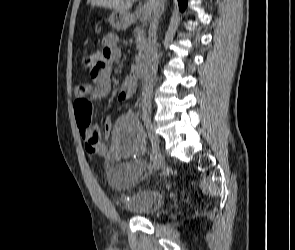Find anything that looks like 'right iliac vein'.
Segmentation results:
<instances>
[{
    "label": "right iliac vein",
    "mask_w": 295,
    "mask_h": 250,
    "mask_svg": "<svg viewBox=\"0 0 295 250\" xmlns=\"http://www.w3.org/2000/svg\"><path fill=\"white\" fill-rule=\"evenodd\" d=\"M145 127L148 132L151 144H152V153L156 157L155 167L157 170L163 167L164 157L160 149V140L157 134L153 131L152 122L149 118L144 119Z\"/></svg>",
    "instance_id": "63e3f726"
}]
</instances>
